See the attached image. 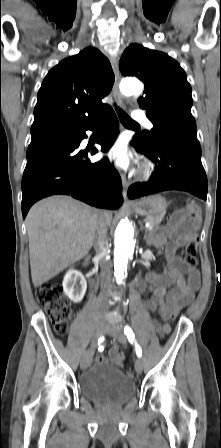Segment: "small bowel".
I'll return each instance as SVG.
<instances>
[{
  "label": "small bowel",
  "mask_w": 221,
  "mask_h": 448,
  "mask_svg": "<svg viewBox=\"0 0 221 448\" xmlns=\"http://www.w3.org/2000/svg\"><path fill=\"white\" fill-rule=\"evenodd\" d=\"M196 239L195 232L187 230L173 222L153 235L152 242L155 246L165 248L168 266L164 275L153 279L150 298L144 301V307L150 311H158L160 321L155 320L154 326L159 334L168 333L170 327L166 322L173 319L184 307L191 303L200 286V273L195 268L188 267L178 255V249ZM102 358L100 361L99 359ZM109 358L121 365L123 355L117 348H112ZM96 362H102L101 356L96 357Z\"/></svg>",
  "instance_id": "small-bowel-1"
}]
</instances>
